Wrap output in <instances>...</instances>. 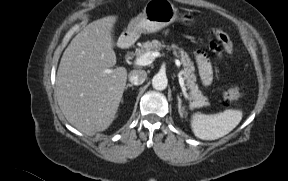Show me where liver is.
Segmentation results:
<instances>
[{
  "label": "liver",
  "mask_w": 288,
  "mask_h": 181,
  "mask_svg": "<svg viewBox=\"0 0 288 181\" xmlns=\"http://www.w3.org/2000/svg\"><path fill=\"white\" fill-rule=\"evenodd\" d=\"M116 19L107 16L88 24L65 49L57 71L58 105L67 121L89 136L111 125L127 81L124 67L112 69ZM124 45L120 36L117 46Z\"/></svg>",
  "instance_id": "6515ba94"
}]
</instances>
